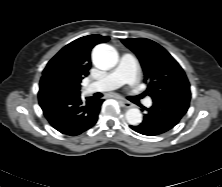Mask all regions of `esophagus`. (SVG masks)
<instances>
[{"label": "esophagus", "mask_w": 222, "mask_h": 187, "mask_svg": "<svg viewBox=\"0 0 222 187\" xmlns=\"http://www.w3.org/2000/svg\"><path fill=\"white\" fill-rule=\"evenodd\" d=\"M121 103H122V106L125 107V108H131L133 107V104L131 102H128L126 100H121Z\"/></svg>", "instance_id": "1"}]
</instances>
